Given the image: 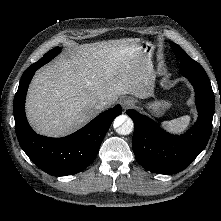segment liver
<instances>
[{
  "label": "liver",
  "mask_w": 221,
  "mask_h": 221,
  "mask_svg": "<svg viewBox=\"0 0 221 221\" xmlns=\"http://www.w3.org/2000/svg\"><path fill=\"white\" fill-rule=\"evenodd\" d=\"M140 40H108L79 45L39 70L26 99V114L36 132L61 137L79 129L118 96L147 98L152 83V61L145 57Z\"/></svg>",
  "instance_id": "1"
}]
</instances>
